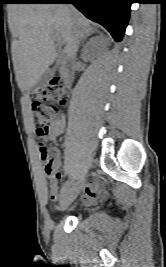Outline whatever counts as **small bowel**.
Segmentation results:
<instances>
[{
  "instance_id": "c3829d8e",
  "label": "small bowel",
  "mask_w": 166,
  "mask_h": 267,
  "mask_svg": "<svg viewBox=\"0 0 166 267\" xmlns=\"http://www.w3.org/2000/svg\"><path fill=\"white\" fill-rule=\"evenodd\" d=\"M65 128V119L61 118L60 120L54 122L50 126L49 130V137L52 141L56 140L64 131ZM53 165L55 168V175L52 177H47V181L49 184V193H50V198L52 200H57L59 195H58V180L61 177L60 173L58 172L60 168V156L56 152L53 156ZM103 194V185L100 182H93L91 184H88L85 187V193L81 197V200L83 203L89 204L94 202L98 197H100Z\"/></svg>"
}]
</instances>
